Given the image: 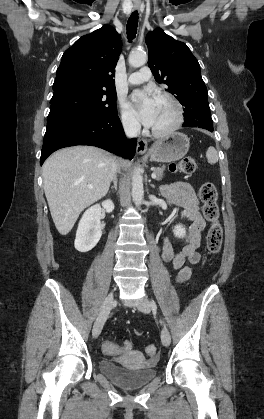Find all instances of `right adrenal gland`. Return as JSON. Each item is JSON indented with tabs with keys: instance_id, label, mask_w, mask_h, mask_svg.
I'll return each instance as SVG.
<instances>
[{
	"instance_id": "1",
	"label": "right adrenal gland",
	"mask_w": 264,
	"mask_h": 419,
	"mask_svg": "<svg viewBox=\"0 0 264 419\" xmlns=\"http://www.w3.org/2000/svg\"><path fill=\"white\" fill-rule=\"evenodd\" d=\"M111 190L117 191V179H114V185L111 187Z\"/></svg>"
}]
</instances>
